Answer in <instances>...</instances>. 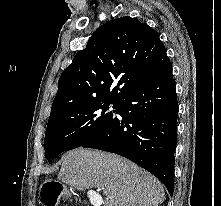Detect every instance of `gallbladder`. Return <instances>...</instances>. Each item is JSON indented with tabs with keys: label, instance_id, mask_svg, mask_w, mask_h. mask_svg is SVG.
Here are the masks:
<instances>
[{
	"label": "gallbladder",
	"instance_id": "1",
	"mask_svg": "<svg viewBox=\"0 0 221 206\" xmlns=\"http://www.w3.org/2000/svg\"><path fill=\"white\" fill-rule=\"evenodd\" d=\"M86 198H91V206H102L99 202L106 201L105 197H101V193H86Z\"/></svg>",
	"mask_w": 221,
	"mask_h": 206
}]
</instances>
